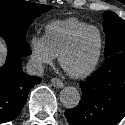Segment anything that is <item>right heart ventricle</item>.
Here are the masks:
<instances>
[{
	"mask_svg": "<svg viewBox=\"0 0 125 125\" xmlns=\"http://www.w3.org/2000/svg\"><path fill=\"white\" fill-rule=\"evenodd\" d=\"M75 17L54 20L48 23L44 31V39L55 56H58L63 46L67 43L70 37L79 29L88 26Z\"/></svg>",
	"mask_w": 125,
	"mask_h": 125,
	"instance_id": "obj_1",
	"label": "right heart ventricle"
}]
</instances>
